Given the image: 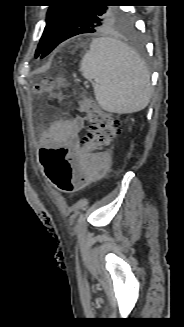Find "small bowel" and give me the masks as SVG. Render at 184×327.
<instances>
[{
  "instance_id": "obj_1",
  "label": "small bowel",
  "mask_w": 184,
  "mask_h": 327,
  "mask_svg": "<svg viewBox=\"0 0 184 327\" xmlns=\"http://www.w3.org/2000/svg\"><path fill=\"white\" fill-rule=\"evenodd\" d=\"M85 127V120L82 116L78 115L74 117L73 119H63L58 120L52 123L47 131L44 133L42 142L44 145V148H48V144L54 143L56 144V148H60L61 152L64 148H67L69 145H72L74 143H77L82 135V132ZM70 159H75V154H70ZM92 157H105L106 163L105 164H90L87 163L85 165V168L89 165H97L98 171L97 172H89L87 171V178L86 181L89 182L91 180L97 179L100 176H102L109 168L111 160L109 156L107 155H98V156H92ZM90 158V157H89ZM49 165V164H42ZM86 182V183H87ZM79 186V185H78ZM77 186V187H78Z\"/></svg>"
}]
</instances>
